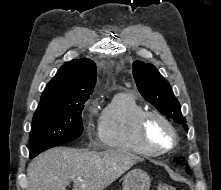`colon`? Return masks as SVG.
Instances as JSON below:
<instances>
[{
	"instance_id": "colon-1",
	"label": "colon",
	"mask_w": 221,
	"mask_h": 190,
	"mask_svg": "<svg viewBox=\"0 0 221 190\" xmlns=\"http://www.w3.org/2000/svg\"><path fill=\"white\" fill-rule=\"evenodd\" d=\"M157 190H181L180 188L167 183H161Z\"/></svg>"
}]
</instances>
